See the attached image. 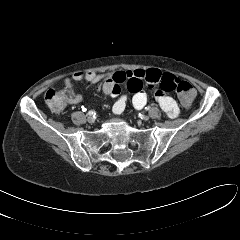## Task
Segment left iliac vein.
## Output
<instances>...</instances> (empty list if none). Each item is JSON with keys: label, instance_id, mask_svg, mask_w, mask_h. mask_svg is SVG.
Instances as JSON below:
<instances>
[{"label": "left iliac vein", "instance_id": "1", "mask_svg": "<svg viewBox=\"0 0 240 240\" xmlns=\"http://www.w3.org/2000/svg\"><path fill=\"white\" fill-rule=\"evenodd\" d=\"M141 119H142L143 121H148V120H149V116L143 115V116L141 117Z\"/></svg>", "mask_w": 240, "mask_h": 240}]
</instances>
